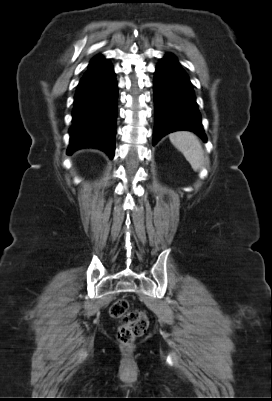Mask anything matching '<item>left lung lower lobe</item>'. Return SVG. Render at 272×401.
I'll list each match as a JSON object with an SVG mask.
<instances>
[{
  "instance_id": "1",
  "label": "left lung lower lobe",
  "mask_w": 272,
  "mask_h": 401,
  "mask_svg": "<svg viewBox=\"0 0 272 401\" xmlns=\"http://www.w3.org/2000/svg\"><path fill=\"white\" fill-rule=\"evenodd\" d=\"M154 91L153 145L178 130L192 131L206 141L189 77L172 54H167L156 67Z\"/></svg>"
}]
</instances>
